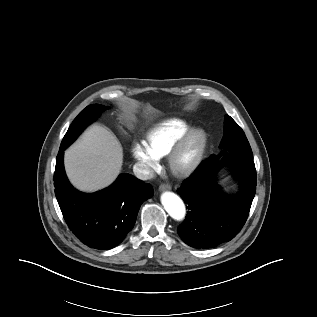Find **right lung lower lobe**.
<instances>
[{
    "mask_svg": "<svg viewBox=\"0 0 317 317\" xmlns=\"http://www.w3.org/2000/svg\"><path fill=\"white\" fill-rule=\"evenodd\" d=\"M67 147L60 146L54 173L55 195L70 230L99 250L119 245L132 230L141 204L153 196L150 184L121 174L108 188L87 194L73 188L63 166Z\"/></svg>",
    "mask_w": 317,
    "mask_h": 317,
    "instance_id": "1",
    "label": "right lung lower lobe"
}]
</instances>
